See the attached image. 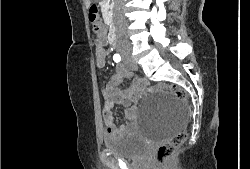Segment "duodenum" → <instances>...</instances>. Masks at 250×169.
Listing matches in <instances>:
<instances>
[{
	"mask_svg": "<svg viewBox=\"0 0 250 169\" xmlns=\"http://www.w3.org/2000/svg\"><path fill=\"white\" fill-rule=\"evenodd\" d=\"M108 40L112 45H118L117 36H116V33L114 31L109 32Z\"/></svg>",
	"mask_w": 250,
	"mask_h": 169,
	"instance_id": "1",
	"label": "duodenum"
}]
</instances>
